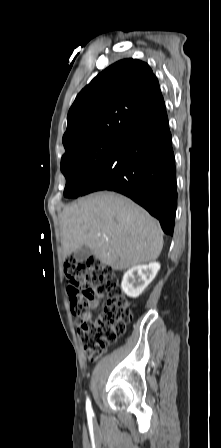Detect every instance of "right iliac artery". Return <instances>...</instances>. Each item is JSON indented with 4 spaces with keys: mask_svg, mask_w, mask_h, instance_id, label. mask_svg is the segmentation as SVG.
Returning <instances> with one entry per match:
<instances>
[{
    "mask_svg": "<svg viewBox=\"0 0 221 448\" xmlns=\"http://www.w3.org/2000/svg\"><path fill=\"white\" fill-rule=\"evenodd\" d=\"M86 410L88 413L92 412L91 403H90L89 399H87V402H86Z\"/></svg>",
    "mask_w": 221,
    "mask_h": 448,
    "instance_id": "1",
    "label": "right iliac artery"
}]
</instances>
